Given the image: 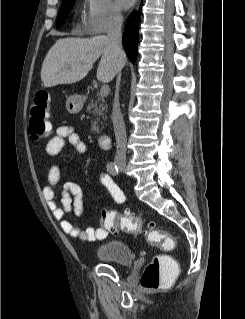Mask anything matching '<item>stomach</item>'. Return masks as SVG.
Here are the masks:
<instances>
[{
	"label": "stomach",
	"instance_id": "1",
	"mask_svg": "<svg viewBox=\"0 0 245 319\" xmlns=\"http://www.w3.org/2000/svg\"><path fill=\"white\" fill-rule=\"evenodd\" d=\"M84 100L81 95L73 94L66 101V109L71 114L79 113L83 108Z\"/></svg>",
	"mask_w": 245,
	"mask_h": 319
}]
</instances>
